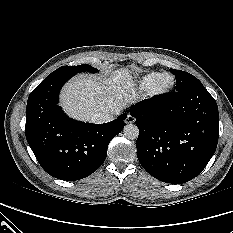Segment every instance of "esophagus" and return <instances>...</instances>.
I'll return each instance as SVG.
<instances>
[{"label":"esophagus","instance_id":"esophagus-1","mask_svg":"<svg viewBox=\"0 0 233 233\" xmlns=\"http://www.w3.org/2000/svg\"><path fill=\"white\" fill-rule=\"evenodd\" d=\"M135 122V117L132 115H127L126 119H125V123L127 124H131Z\"/></svg>","mask_w":233,"mask_h":233}]
</instances>
